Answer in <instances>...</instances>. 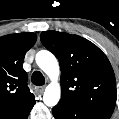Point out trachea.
Segmentation results:
<instances>
[{"label":"trachea","instance_id":"1","mask_svg":"<svg viewBox=\"0 0 119 119\" xmlns=\"http://www.w3.org/2000/svg\"><path fill=\"white\" fill-rule=\"evenodd\" d=\"M31 81L34 85L36 86H42L45 84V78L44 76L42 75L41 72L39 71H35L33 74H32V77H31Z\"/></svg>","mask_w":119,"mask_h":119}]
</instances>
